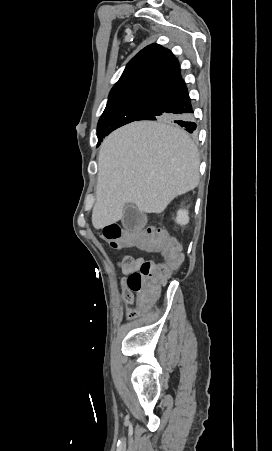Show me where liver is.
I'll return each instance as SVG.
<instances>
[{
  "instance_id": "obj_1",
  "label": "liver",
  "mask_w": 272,
  "mask_h": 451,
  "mask_svg": "<svg viewBox=\"0 0 272 451\" xmlns=\"http://www.w3.org/2000/svg\"><path fill=\"white\" fill-rule=\"evenodd\" d=\"M199 154L189 134L170 122H133L112 132L98 156L96 229L115 224L125 204L160 214L199 184Z\"/></svg>"
}]
</instances>
